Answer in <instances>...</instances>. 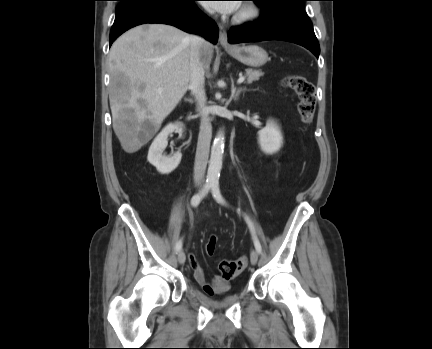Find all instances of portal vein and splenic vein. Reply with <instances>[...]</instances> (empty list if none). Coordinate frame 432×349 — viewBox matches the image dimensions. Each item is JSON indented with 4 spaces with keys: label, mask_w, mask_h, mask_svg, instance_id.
I'll list each match as a JSON object with an SVG mask.
<instances>
[{
    "label": "portal vein and splenic vein",
    "mask_w": 432,
    "mask_h": 349,
    "mask_svg": "<svg viewBox=\"0 0 432 349\" xmlns=\"http://www.w3.org/2000/svg\"><path fill=\"white\" fill-rule=\"evenodd\" d=\"M245 80L244 76L239 77V79L237 80V83L240 84Z\"/></svg>",
    "instance_id": "18ae733b"
}]
</instances>
